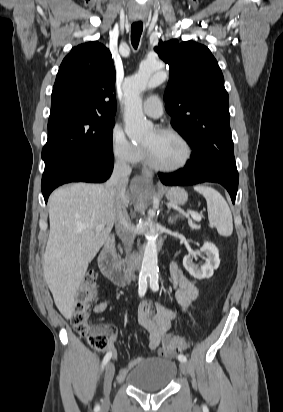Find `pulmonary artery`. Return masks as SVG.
<instances>
[{"instance_id":"obj_1","label":"pulmonary artery","mask_w":283,"mask_h":412,"mask_svg":"<svg viewBox=\"0 0 283 412\" xmlns=\"http://www.w3.org/2000/svg\"><path fill=\"white\" fill-rule=\"evenodd\" d=\"M143 112L148 117L159 118L163 114V106L160 97H149L143 104Z\"/></svg>"}]
</instances>
